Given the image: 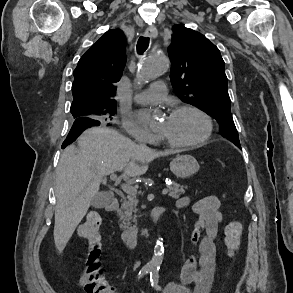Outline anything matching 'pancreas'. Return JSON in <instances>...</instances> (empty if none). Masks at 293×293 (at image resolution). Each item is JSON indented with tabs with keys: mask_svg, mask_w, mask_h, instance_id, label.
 <instances>
[{
	"mask_svg": "<svg viewBox=\"0 0 293 293\" xmlns=\"http://www.w3.org/2000/svg\"><path fill=\"white\" fill-rule=\"evenodd\" d=\"M187 187H184L183 185H179L177 183H173L171 186L168 187V196L174 199H178L180 195L185 193V189ZM137 199L135 195H129L124 200L122 204V210H123V218L125 221H131L133 220L136 222V216L133 215V213L137 212L136 206H137ZM131 229H136V226L131 227Z\"/></svg>",
	"mask_w": 293,
	"mask_h": 293,
	"instance_id": "1",
	"label": "pancreas"
}]
</instances>
